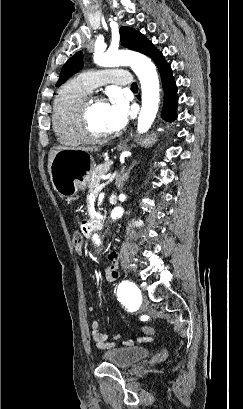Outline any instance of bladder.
Returning <instances> with one entry per match:
<instances>
[{
  "instance_id": "31cf9c89",
  "label": "bladder",
  "mask_w": 243,
  "mask_h": 409,
  "mask_svg": "<svg viewBox=\"0 0 243 409\" xmlns=\"http://www.w3.org/2000/svg\"><path fill=\"white\" fill-rule=\"evenodd\" d=\"M150 351L144 347H115L103 353V359L118 368L125 369L148 357Z\"/></svg>"
}]
</instances>
